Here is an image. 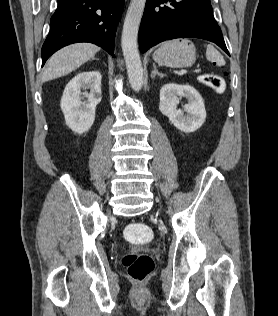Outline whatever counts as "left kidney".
<instances>
[{
	"instance_id": "1",
	"label": "left kidney",
	"mask_w": 278,
	"mask_h": 316,
	"mask_svg": "<svg viewBox=\"0 0 278 316\" xmlns=\"http://www.w3.org/2000/svg\"><path fill=\"white\" fill-rule=\"evenodd\" d=\"M178 97L188 99V104L184 106V111L188 113L187 116H184L182 110L177 109ZM159 110L177 129L186 133L199 129L206 118L203 99L198 91L190 85L174 83L164 85L160 90Z\"/></svg>"
}]
</instances>
